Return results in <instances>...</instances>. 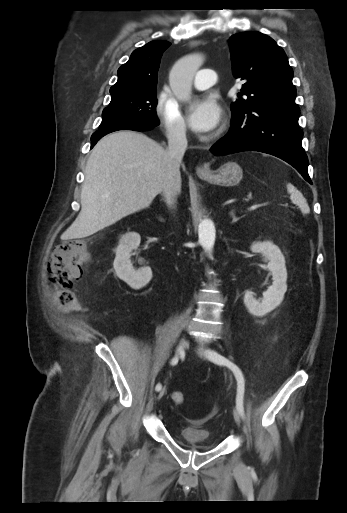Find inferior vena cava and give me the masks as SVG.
<instances>
[{"instance_id": "1", "label": "inferior vena cava", "mask_w": 347, "mask_h": 513, "mask_svg": "<svg viewBox=\"0 0 347 513\" xmlns=\"http://www.w3.org/2000/svg\"><path fill=\"white\" fill-rule=\"evenodd\" d=\"M168 138V163L174 175H180V164L187 149L186 129L184 127L174 128L167 134ZM165 202L170 208L175 207L177 191L173 183L166 184L162 189Z\"/></svg>"}]
</instances>
